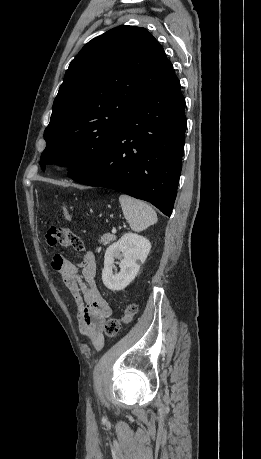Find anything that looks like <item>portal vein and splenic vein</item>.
Instances as JSON below:
<instances>
[{
	"label": "portal vein and splenic vein",
	"mask_w": 261,
	"mask_h": 459,
	"mask_svg": "<svg viewBox=\"0 0 261 459\" xmlns=\"http://www.w3.org/2000/svg\"><path fill=\"white\" fill-rule=\"evenodd\" d=\"M117 230L115 228L112 229V233H116Z\"/></svg>",
	"instance_id": "portal-vein-and-splenic-vein-1"
}]
</instances>
